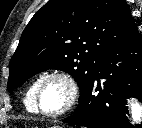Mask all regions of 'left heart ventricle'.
Masks as SVG:
<instances>
[{"instance_id": "left-heart-ventricle-1", "label": "left heart ventricle", "mask_w": 142, "mask_h": 128, "mask_svg": "<svg viewBox=\"0 0 142 128\" xmlns=\"http://www.w3.org/2000/svg\"><path fill=\"white\" fill-rule=\"evenodd\" d=\"M67 98L68 90L61 80L51 78L43 82L39 96L41 109L56 112L66 104Z\"/></svg>"}]
</instances>
